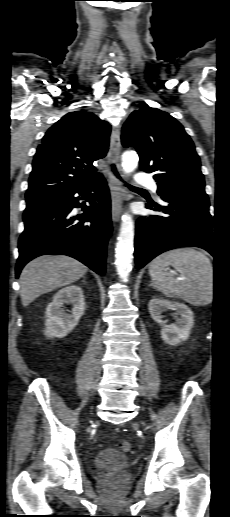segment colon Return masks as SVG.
Returning <instances> with one entry per match:
<instances>
[{
  "mask_svg": "<svg viewBox=\"0 0 230 517\" xmlns=\"http://www.w3.org/2000/svg\"><path fill=\"white\" fill-rule=\"evenodd\" d=\"M117 447L118 449H120L121 451H124V452H127L130 450L131 448V445L128 441H118L117 442Z\"/></svg>",
  "mask_w": 230,
  "mask_h": 517,
  "instance_id": "obj_1",
  "label": "colon"
}]
</instances>
